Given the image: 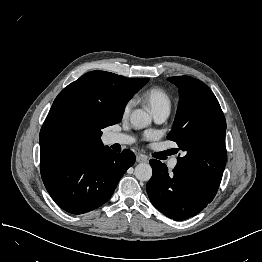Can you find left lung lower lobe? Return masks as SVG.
<instances>
[{
	"label": "left lung lower lobe",
	"instance_id": "0a47b994",
	"mask_svg": "<svg viewBox=\"0 0 262 262\" xmlns=\"http://www.w3.org/2000/svg\"><path fill=\"white\" fill-rule=\"evenodd\" d=\"M152 178L146 186L151 203L165 216L180 221L201 212L211 201L202 197L185 177L175 168L168 172L165 164L150 160Z\"/></svg>",
	"mask_w": 262,
	"mask_h": 262
}]
</instances>
